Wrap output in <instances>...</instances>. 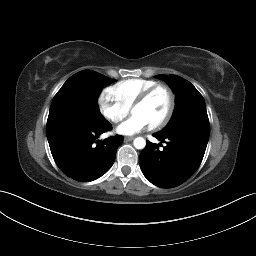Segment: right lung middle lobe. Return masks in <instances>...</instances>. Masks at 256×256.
Instances as JSON below:
<instances>
[{
    "label": "right lung middle lobe",
    "instance_id": "right-lung-middle-lobe-1",
    "mask_svg": "<svg viewBox=\"0 0 256 256\" xmlns=\"http://www.w3.org/2000/svg\"><path fill=\"white\" fill-rule=\"evenodd\" d=\"M114 81L91 70L74 74L55 95L47 122L69 120L87 124L107 123L97 101L101 89Z\"/></svg>",
    "mask_w": 256,
    "mask_h": 256
}]
</instances>
